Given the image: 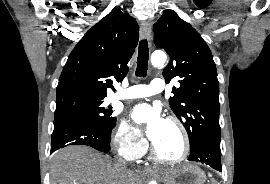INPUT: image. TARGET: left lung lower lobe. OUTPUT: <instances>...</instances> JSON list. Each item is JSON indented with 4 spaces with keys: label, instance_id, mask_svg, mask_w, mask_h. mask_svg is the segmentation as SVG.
<instances>
[{
    "label": "left lung lower lobe",
    "instance_id": "left-lung-lower-lobe-1",
    "mask_svg": "<svg viewBox=\"0 0 270 184\" xmlns=\"http://www.w3.org/2000/svg\"><path fill=\"white\" fill-rule=\"evenodd\" d=\"M188 160L201 162L221 172L220 139L211 137L200 138L190 148Z\"/></svg>",
    "mask_w": 270,
    "mask_h": 184
}]
</instances>
